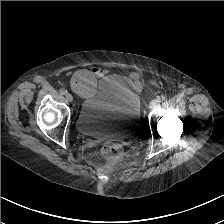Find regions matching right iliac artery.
Returning <instances> with one entry per match:
<instances>
[{
  "instance_id": "82829eb1",
  "label": "right iliac artery",
  "mask_w": 224,
  "mask_h": 224,
  "mask_svg": "<svg viewBox=\"0 0 224 224\" xmlns=\"http://www.w3.org/2000/svg\"><path fill=\"white\" fill-rule=\"evenodd\" d=\"M60 93H61L62 95H65V94L67 93V90L64 89V88H61V89H60Z\"/></svg>"
}]
</instances>
